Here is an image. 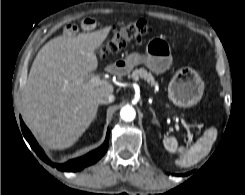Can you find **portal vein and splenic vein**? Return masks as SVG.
Instances as JSON below:
<instances>
[{
    "label": "portal vein and splenic vein",
    "instance_id": "obj_1",
    "mask_svg": "<svg viewBox=\"0 0 245 195\" xmlns=\"http://www.w3.org/2000/svg\"><path fill=\"white\" fill-rule=\"evenodd\" d=\"M90 81H91V83H92L94 86H99V85H102V84L107 83L106 81L101 80V78H100L99 76H93V77L90 79ZM180 121H181L182 126L185 128L187 134H188L189 136H191L192 133H191V128H190V126L187 125V123H186L183 119H181V118H180Z\"/></svg>",
    "mask_w": 245,
    "mask_h": 195
}]
</instances>
